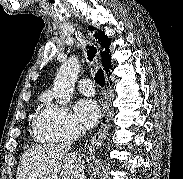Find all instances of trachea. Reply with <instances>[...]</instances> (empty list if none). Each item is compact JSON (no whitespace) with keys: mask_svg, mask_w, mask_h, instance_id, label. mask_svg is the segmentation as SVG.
Masks as SVG:
<instances>
[{"mask_svg":"<svg viewBox=\"0 0 183 179\" xmlns=\"http://www.w3.org/2000/svg\"><path fill=\"white\" fill-rule=\"evenodd\" d=\"M86 49H88L87 50L88 59L92 61L96 56L97 50L94 46H90V45L86 46ZM94 79L98 85H100L101 87L104 86L105 78H104V72L102 71V69H99L96 72Z\"/></svg>","mask_w":183,"mask_h":179,"instance_id":"trachea-1","label":"trachea"}]
</instances>
